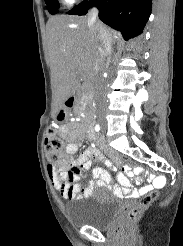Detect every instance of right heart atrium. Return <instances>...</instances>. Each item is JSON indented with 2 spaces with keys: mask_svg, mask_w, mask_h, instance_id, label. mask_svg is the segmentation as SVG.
I'll list each match as a JSON object with an SVG mask.
<instances>
[{
  "mask_svg": "<svg viewBox=\"0 0 183 246\" xmlns=\"http://www.w3.org/2000/svg\"><path fill=\"white\" fill-rule=\"evenodd\" d=\"M65 3L67 4H74L75 2H77L78 0H63Z\"/></svg>",
  "mask_w": 183,
  "mask_h": 246,
  "instance_id": "obj_1",
  "label": "right heart atrium"
}]
</instances>
